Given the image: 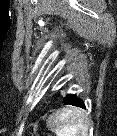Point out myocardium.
Instances as JSON below:
<instances>
[{"label": "myocardium", "instance_id": "obj_1", "mask_svg": "<svg viewBox=\"0 0 117 136\" xmlns=\"http://www.w3.org/2000/svg\"><path fill=\"white\" fill-rule=\"evenodd\" d=\"M28 100L31 104H34V105L41 103V101H42L41 92L35 91V92L31 93L28 97Z\"/></svg>", "mask_w": 117, "mask_h": 136}]
</instances>
